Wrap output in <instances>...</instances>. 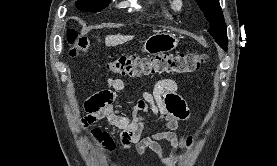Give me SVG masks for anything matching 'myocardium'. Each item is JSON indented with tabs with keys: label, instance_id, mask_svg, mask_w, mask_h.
<instances>
[{
	"label": "myocardium",
	"instance_id": "obj_1",
	"mask_svg": "<svg viewBox=\"0 0 277 166\" xmlns=\"http://www.w3.org/2000/svg\"><path fill=\"white\" fill-rule=\"evenodd\" d=\"M172 4L175 9L180 10L183 7V0H173Z\"/></svg>",
	"mask_w": 277,
	"mask_h": 166
}]
</instances>
